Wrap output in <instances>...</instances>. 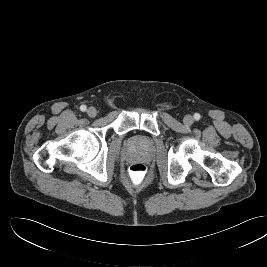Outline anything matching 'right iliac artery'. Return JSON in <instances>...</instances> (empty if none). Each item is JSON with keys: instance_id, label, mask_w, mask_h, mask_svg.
Returning a JSON list of instances; mask_svg holds the SVG:
<instances>
[{"instance_id": "82829eb1", "label": "right iliac artery", "mask_w": 267, "mask_h": 267, "mask_svg": "<svg viewBox=\"0 0 267 267\" xmlns=\"http://www.w3.org/2000/svg\"><path fill=\"white\" fill-rule=\"evenodd\" d=\"M86 109H87V107H86L85 105H81V106H80V110H81L82 112L86 111Z\"/></svg>"}]
</instances>
